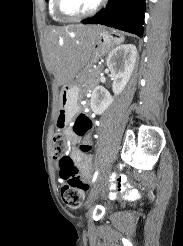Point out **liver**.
<instances>
[{
  "mask_svg": "<svg viewBox=\"0 0 183 246\" xmlns=\"http://www.w3.org/2000/svg\"><path fill=\"white\" fill-rule=\"evenodd\" d=\"M100 26L67 25L52 27L46 35L50 63L56 80L69 83L90 60ZM73 34V38L70 36Z\"/></svg>",
  "mask_w": 183,
  "mask_h": 246,
  "instance_id": "1",
  "label": "liver"
}]
</instances>
